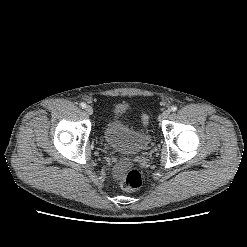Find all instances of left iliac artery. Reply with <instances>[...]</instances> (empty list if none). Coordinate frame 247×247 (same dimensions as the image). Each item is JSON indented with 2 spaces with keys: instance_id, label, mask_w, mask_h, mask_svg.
Returning <instances> with one entry per match:
<instances>
[{
  "instance_id": "1",
  "label": "left iliac artery",
  "mask_w": 247,
  "mask_h": 247,
  "mask_svg": "<svg viewBox=\"0 0 247 247\" xmlns=\"http://www.w3.org/2000/svg\"><path fill=\"white\" fill-rule=\"evenodd\" d=\"M171 111L173 112L177 111V107L176 106L171 107Z\"/></svg>"
}]
</instances>
